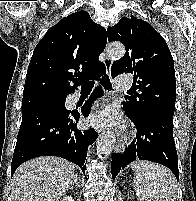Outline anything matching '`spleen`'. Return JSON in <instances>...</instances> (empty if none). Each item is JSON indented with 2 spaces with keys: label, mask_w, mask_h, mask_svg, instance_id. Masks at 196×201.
<instances>
[{
  "label": "spleen",
  "mask_w": 196,
  "mask_h": 201,
  "mask_svg": "<svg viewBox=\"0 0 196 201\" xmlns=\"http://www.w3.org/2000/svg\"><path fill=\"white\" fill-rule=\"evenodd\" d=\"M134 187L140 201H175L176 179L167 168L153 162H134Z\"/></svg>",
  "instance_id": "obj_1"
}]
</instances>
